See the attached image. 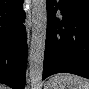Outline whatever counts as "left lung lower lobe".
<instances>
[{
    "mask_svg": "<svg viewBox=\"0 0 89 89\" xmlns=\"http://www.w3.org/2000/svg\"><path fill=\"white\" fill-rule=\"evenodd\" d=\"M63 72L89 79V0H47L43 79Z\"/></svg>",
    "mask_w": 89,
    "mask_h": 89,
    "instance_id": "1",
    "label": "left lung lower lobe"
}]
</instances>
